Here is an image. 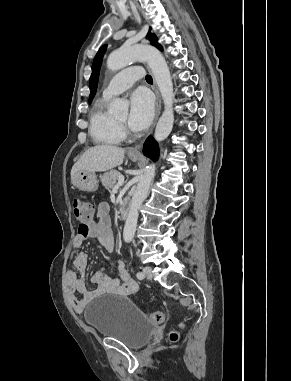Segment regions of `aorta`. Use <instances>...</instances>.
I'll return each mask as SVG.
<instances>
[{"label":"aorta","mask_w":291,"mask_h":381,"mask_svg":"<svg viewBox=\"0 0 291 381\" xmlns=\"http://www.w3.org/2000/svg\"><path fill=\"white\" fill-rule=\"evenodd\" d=\"M135 61L147 62L163 99L164 111L156 125L154 134L155 139L160 142L168 137L174 123V93L169 67L158 49L150 45L137 44L129 47L123 46L111 52L107 59V68L111 71H117ZM127 112L128 104L124 100L117 98L112 101L109 108L110 114L121 115L127 114ZM154 175L155 164H152L147 167L137 185L124 226L123 238L125 242H131L134 237L139 209L148 194L149 186Z\"/></svg>","instance_id":"1"}]
</instances>
